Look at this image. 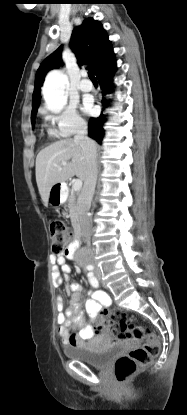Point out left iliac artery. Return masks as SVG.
Instances as JSON below:
<instances>
[{
  "mask_svg": "<svg viewBox=\"0 0 187 415\" xmlns=\"http://www.w3.org/2000/svg\"><path fill=\"white\" fill-rule=\"evenodd\" d=\"M88 278H89L90 284H91L92 286H94V287H98V281H97V279L94 277V275H93V273H92V272L88 273Z\"/></svg>",
  "mask_w": 187,
  "mask_h": 415,
  "instance_id": "left-iliac-artery-1",
  "label": "left iliac artery"
}]
</instances>
